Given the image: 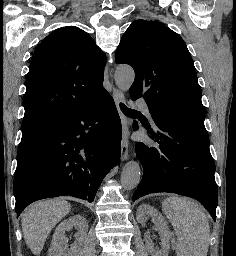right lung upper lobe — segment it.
<instances>
[{
	"mask_svg": "<svg viewBox=\"0 0 236 256\" xmlns=\"http://www.w3.org/2000/svg\"><path fill=\"white\" fill-rule=\"evenodd\" d=\"M105 54L75 26L58 28L35 49L23 98V121L60 119L108 93Z\"/></svg>",
	"mask_w": 236,
	"mask_h": 256,
	"instance_id": "right-lung-upper-lobe-1",
	"label": "right lung upper lobe"
}]
</instances>
